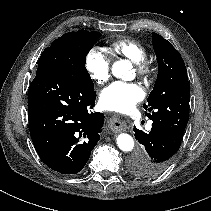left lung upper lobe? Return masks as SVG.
Returning a JSON list of instances; mask_svg holds the SVG:
<instances>
[{
  "mask_svg": "<svg viewBox=\"0 0 211 211\" xmlns=\"http://www.w3.org/2000/svg\"><path fill=\"white\" fill-rule=\"evenodd\" d=\"M158 62L153 90L143 107L153 122H162L184 134L189 119V81L180 53L162 36L152 33Z\"/></svg>",
  "mask_w": 211,
  "mask_h": 211,
  "instance_id": "5c2ea615",
  "label": "left lung upper lobe"
}]
</instances>
